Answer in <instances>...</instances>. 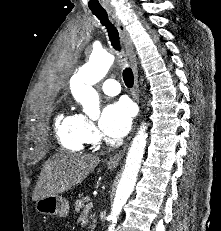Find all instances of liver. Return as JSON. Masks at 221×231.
<instances>
[{
	"label": "liver",
	"instance_id": "obj_1",
	"mask_svg": "<svg viewBox=\"0 0 221 231\" xmlns=\"http://www.w3.org/2000/svg\"><path fill=\"white\" fill-rule=\"evenodd\" d=\"M99 162L100 158L91 154L60 151L44 164L32 200L59 195L81 184Z\"/></svg>",
	"mask_w": 221,
	"mask_h": 231
}]
</instances>
